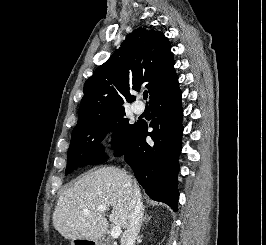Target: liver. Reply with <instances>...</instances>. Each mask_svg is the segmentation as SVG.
<instances>
[{
	"mask_svg": "<svg viewBox=\"0 0 266 245\" xmlns=\"http://www.w3.org/2000/svg\"><path fill=\"white\" fill-rule=\"evenodd\" d=\"M137 187L135 179L116 169L102 167L90 171L60 193L53 213V225L65 239L98 241L108 231L106 213H98L99 205L112 209L109 221L127 229L130 219L129 187ZM88 209L89 213H83Z\"/></svg>",
	"mask_w": 266,
	"mask_h": 245,
	"instance_id": "liver-1",
	"label": "liver"
}]
</instances>
